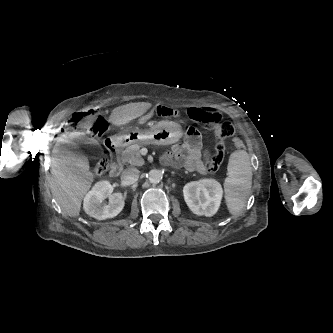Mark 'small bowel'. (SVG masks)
Returning a JSON list of instances; mask_svg holds the SVG:
<instances>
[{
	"instance_id": "obj_1",
	"label": "small bowel",
	"mask_w": 333,
	"mask_h": 333,
	"mask_svg": "<svg viewBox=\"0 0 333 333\" xmlns=\"http://www.w3.org/2000/svg\"><path fill=\"white\" fill-rule=\"evenodd\" d=\"M162 109V106H156L154 110L149 111L147 115L140 118V123L144 124L150 121ZM203 121L208 124L221 122L222 114L218 110H215V113H209L207 116H204ZM172 152L176 161L181 163L187 170L197 173L206 172L201 158V142L197 137L191 136L185 142L173 146Z\"/></svg>"
}]
</instances>
